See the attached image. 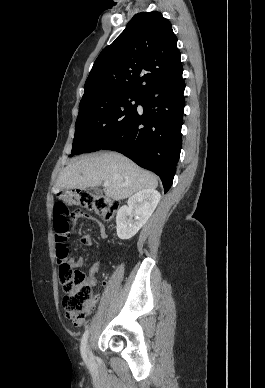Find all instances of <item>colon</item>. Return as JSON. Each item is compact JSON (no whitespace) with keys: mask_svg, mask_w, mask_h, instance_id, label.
I'll return each instance as SVG.
<instances>
[{"mask_svg":"<svg viewBox=\"0 0 265 388\" xmlns=\"http://www.w3.org/2000/svg\"><path fill=\"white\" fill-rule=\"evenodd\" d=\"M72 205H80L106 220H111L119 209V203L107 196L90 192L59 191L56 193L53 207L55 255L59 264L60 281L65 291L63 307L66 318L73 324H77L85 316L92 293L86 275L82 271L74 270L67 261L66 240L71 227L69 207Z\"/></svg>","mask_w":265,"mask_h":388,"instance_id":"1","label":"colon"}]
</instances>
